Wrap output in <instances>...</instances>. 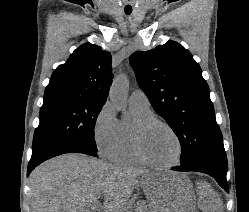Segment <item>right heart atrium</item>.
I'll return each mask as SVG.
<instances>
[{"label": "right heart atrium", "instance_id": "d8ad5b80", "mask_svg": "<svg viewBox=\"0 0 249 212\" xmlns=\"http://www.w3.org/2000/svg\"><path fill=\"white\" fill-rule=\"evenodd\" d=\"M117 127L118 120L113 105L107 101L95 115L92 127L96 147L106 157H111L117 145L119 138Z\"/></svg>", "mask_w": 249, "mask_h": 212}]
</instances>
